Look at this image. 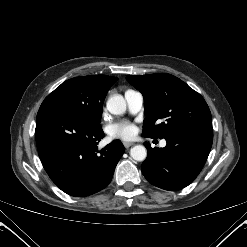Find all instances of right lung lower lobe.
Segmentation results:
<instances>
[{
  "instance_id": "1",
  "label": "right lung lower lobe",
  "mask_w": 247,
  "mask_h": 247,
  "mask_svg": "<svg viewBox=\"0 0 247 247\" xmlns=\"http://www.w3.org/2000/svg\"><path fill=\"white\" fill-rule=\"evenodd\" d=\"M104 133L84 117L54 106L40 107L35 138L42 165L66 194L84 197L104 189L125 149L113 141L97 150Z\"/></svg>"
}]
</instances>
